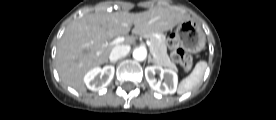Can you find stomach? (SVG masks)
<instances>
[{
    "label": "stomach",
    "mask_w": 276,
    "mask_h": 120,
    "mask_svg": "<svg viewBox=\"0 0 276 120\" xmlns=\"http://www.w3.org/2000/svg\"><path fill=\"white\" fill-rule=\"evenodd\" d=\"M176 41L188 52L197 53L205 47V34L200 26L191 20L178 24L175 31Z\"/></svg>",
    "instance_id": "0dacf381"
}]
</instances>
